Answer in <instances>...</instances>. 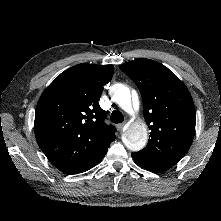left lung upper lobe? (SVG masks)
Listing matches in <instances>:
<instances>
[{
    "instance_id": "obj_1",
    "label": "left lung upper lobe",
    "mask_w": 221,
    "mask_h": 221,
    "mask_svg": "<svg viewBox=\"0 0 221 221\" xmlns=\"http://www.w3.org/2000/svg\"><path fill=\"white\" fill-rule=\"evenodd\" d=\"M119 68L140 90L150 136L138 155L175 165L188 152L195 134L196 115L184 83L164 65L139 58Z\"/></svg>"
}]
</instances>
